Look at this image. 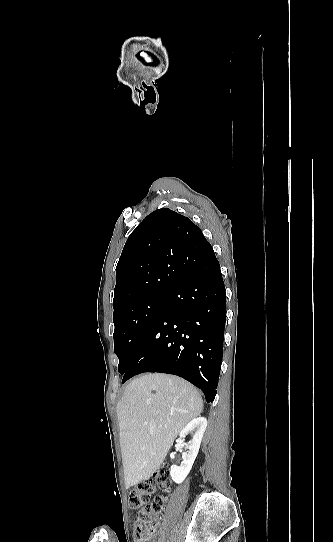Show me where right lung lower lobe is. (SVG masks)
<instances>
[{
	"label": "right lung lower lobe",
	"instance_id": "right-lung-lower-lobe-1",
	"mask_svg": "<svg viewBox=\"0 0 333 542\" xmlns=\"http://www.w3.org/2000/svg\"><path fill=\"white\" fill-rule=\"evenodd\" d=\"M184 279L169 292L124 373L122 383L144 372L178 375L200 388L207 402L216 396L223 355L226 293L212 246L165 251Z\"/></svg>",
	"mask_w": 333,
	"mask_h": 542
}]
</instances>
